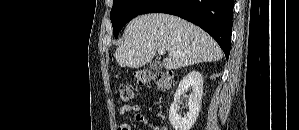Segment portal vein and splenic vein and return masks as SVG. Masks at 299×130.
I'll list each match as a JSON object with an SVG mask.
<instances>
[{"label":"portal vein and splenic vein","instance_id":"1","mask_svg":"<svg viewBox=\"0 0 299 130\" xmlns=\"http://www.w3.org/2000/svg\"><path fill=\"white\" fill-rule=\"evenodd\" d=\"M165 53V50L164 49H159L158 50V54L159 55H163ZM169 55H173V53H170Z\"/></svg>","mask_w":299,"mask_h":130}]
</instances>
